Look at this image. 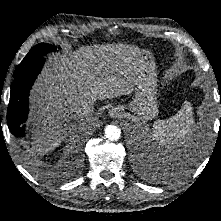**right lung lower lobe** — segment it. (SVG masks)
<instances>
[{
	"mask_svg": "<svg viewBox=\"0 0 221 221\" xmlns=\"http://www.w3.org/2000/svg\"><path fill=\"white\" fill-rule=\"evenodd\" d=\"M45 58L41 57L17 71L11 85L10 101L7 112V123L15 137H24L28 113V95L34 80L39 74Z\"/></svg>",
	"mask_w": 221,
	"mask_h": 221,
	"instance_id": "right-lung-lower-lobe-1",
	"label": "right lung lower lobe"
}]
</instances>
